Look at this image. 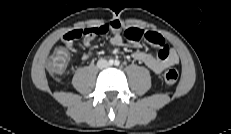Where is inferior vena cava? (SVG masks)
<instances>
[{
  "label": "inferior vena cava",
  "instance_id": "602c4592",
  "mask_svg": "<svg viewBox=\"0 0 231 134\" xmlns=\"http://www.w3.org/2000/svg\"><path fill=\"white\" fill-rule=\"evenodd\" d=\"M109 63L107 60L105 59H99L98 62H97V67L100 68V69H103V68H106L108 67Z\"/></svg>",
  "mask_w": 231,
  "mask_h": 134
}]
</instances>
